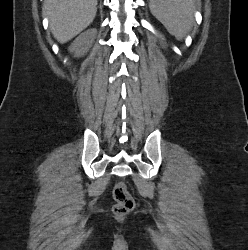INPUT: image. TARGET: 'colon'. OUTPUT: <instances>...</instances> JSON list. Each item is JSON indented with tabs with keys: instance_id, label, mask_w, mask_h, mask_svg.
<instances>
[{
	"instance_id": "colon-1",
	"label": "colon",
	"mask_w": 248,
	"mask_h": 250,
	"mask_svg": "<svg viewBox=\"0 0 248 250\" xmlns=\"http://www.w3.org/2000/svg\"><path fill=\"white\" fill-rule=\"evenodd\" d=\"M113 198L115 204L112 211L116 217H124L134 209V199L129 193L125 183L118 182L115 184L113 188Z\"/></svg>"
}]
</instances>
